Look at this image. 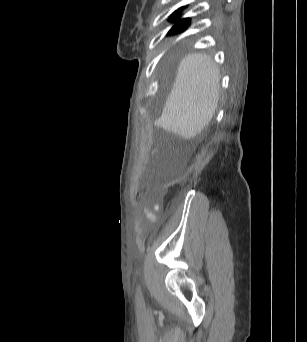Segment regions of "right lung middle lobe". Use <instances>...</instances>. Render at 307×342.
I'll return each mask as SVG.
<instances>
[{
	"label": "right lung middle lobe",
	"mask_w": 307,
	"mask_h": 342,
	"mask_svg": "<svg viewBox=\"0 0 307 342\" xmlns=\"http://www.w3.org/2000/svg\"><path fill=\"white\" fill-rule=\"evenodd\" d=\"M179 14V11H176L173 13L172 15V19L171 21L174 22L176 21L177 23L172 27V29L169 31V34H174V33H179L184 31L188 25L190 24V19L186 18V19H182L179 20V18L177 17V15Z\"/></svg>",
	"instance_id": "obj_1"
}]
</instances>
